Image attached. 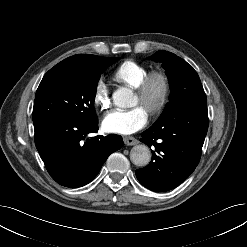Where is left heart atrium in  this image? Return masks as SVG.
<instances>
[{"instance_id":"1","label":"left heart atrium","mask_w":247,"mask_h":247,"mask_svg":"<svg viewBox=\"0 0 247 247\" xmlns=\"http://www.w3.org/2000/svg\"><path fill=\"white\" fill-rule=\"evenodd\" d=\"M148 121L147 110L136 106L129 110H113L102 120L106 132L128 135L143 128Z\"/></svg>"}]
</instances>
